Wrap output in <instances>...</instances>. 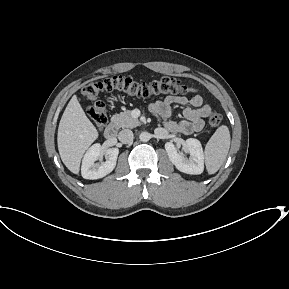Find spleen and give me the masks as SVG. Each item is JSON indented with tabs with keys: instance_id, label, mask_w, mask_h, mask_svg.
<instances>
[{
	"instance_id": "3e777b00",
	"label": "spleen",
	"mask_w": 289,
	"mask_h": 289,
	"mask_svg": "<svg viewBox=\"0 0 289 289\" xmlns=\"http://www.w3.org/2000/svg\"><path fill=\"white\" fill-rule=\"evenodd\" d=\"M230 132L227 126H220L205 146V164L209 174L216 173L224 163L230 148Z\"/></svg>"
}]
</instances>
